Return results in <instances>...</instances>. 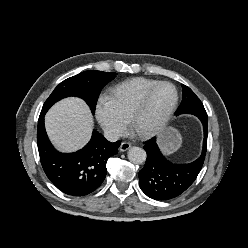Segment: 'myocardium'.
Here are the masks:
<instances>
[{
	"label": "myocardium",
	"instance_id": "f54148a6",
	"mask_svg": "<svg viewBox=\"0 0 248 248\" xmlns=\"http://www.w3.org/2000/svg\"><path fill=\"white\" fill-rule=\"evenodd\" d=\"M163 85L171 87L174 91V99H173L171 106L169 107L166 114L153 126L146 128V129L138 128V125H137L138 119L140 115L142 114V112L144 111V109L146 108L152 94L158 87L163 86ZM178 99H179L178 90L174 84L168 81H158L157 83H155L154 85H152L150 88H148L145 91L141 99L132 109V112L129 116V123H130L131 129L141 137L147 138V137L155 136L156 134L161 132L171 120L176 110Z\"/></svg>",
	"mask_w": 248,
	"mask_h": 248
}]
</instances>
